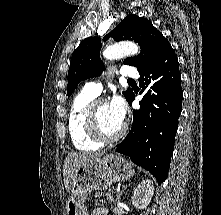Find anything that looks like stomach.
<instances>
[{"mask_svg":"<svg viewBox=\"0 0 221 215\" xmlns=\"http://www.w3.org/2000/svg\"><path fill=\"white\" fill-rule=\"evenodd\" d=\"M134 174L132 164L113 153L80 164L71 178L67 215H88L84 200L92 190L107 189L114 182L129 180Z\"/></svg>","mask_w":221,"mask_h":215,"instance_id":"stomach-1","label":"stomach"}]
</instances>
